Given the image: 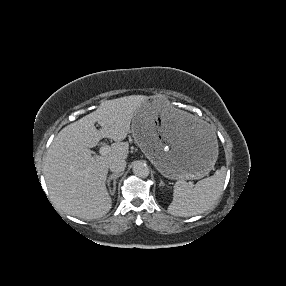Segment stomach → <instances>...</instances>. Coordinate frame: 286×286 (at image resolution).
I'll list each match as a JSON object with an SVG mask.
<instances>
[{
	"label": "stomach",
	"mask_w": 286,
	"mask_h": 286,
	"mask_svg": "<svg viewBox=\"0 0 286 286\" xmlns=\"http://www.w3.org/2000/svg\"><path fill=\"white\" fill-rule=\"evenodd\" d=\"M131 132L146 157L169 179H200L218 157L215 128L159 94L140 100Z\"/></svg>",
	"instance_id": "obj_1"
}]
</instances>
